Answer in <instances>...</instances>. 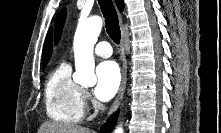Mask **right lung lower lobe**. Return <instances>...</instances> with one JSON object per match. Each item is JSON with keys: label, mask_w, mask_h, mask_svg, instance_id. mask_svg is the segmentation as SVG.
Returning a JSON list of instances; mask_svg holds the SVG:
<instances>
[{"label": "right lung lower lobe", "mask_w": 221, "mask_h": 133, "mask_svg": "<svg viewBox=\"0 0 221 133\" xmlns=\"http://www.w3.org/2000/svg\"><path fill=\"white\" fill-rule=\"evenodd\" d=\"M117 117V113L111 116L108 121L101 127V133L111 132L116 124Z\"/></svg>", "instance_id": "1"}]
</instances>
